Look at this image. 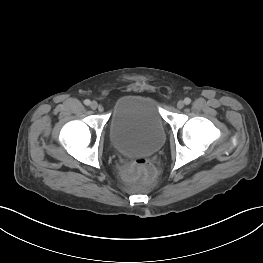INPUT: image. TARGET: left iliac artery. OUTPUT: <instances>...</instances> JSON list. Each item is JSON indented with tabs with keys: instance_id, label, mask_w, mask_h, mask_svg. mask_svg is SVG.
I'll return each instance as SVG.
<instances>
[{
	"instance_id": "44dca946",
	"label": "left iliac artery",
	"mask_w": 263,
	"mask_h": 263,
	"mask_svg": "<svg viewBox=\"0 0 263 263\" xmlns=\"http://www.w3.org/2000/svg\"><path fill=\"white\" fill-rule=\"evenodd\" d=\"M184 103L186 104V105H188V104H190L191 103V99L190 98H185L184 99Z\"/></svg>"
}]
</instances>
